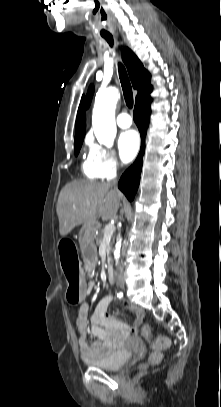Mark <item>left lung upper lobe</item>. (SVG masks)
Listing matches in <instances>:
<instances>
[{
    "label": "left lung upper lobe",
    "mask_w": 221,
    "mask_h": 407,
    "mask_svg": "<svg viewBox=\"0 0 221 407\" xmlns=\"http://www.w3.org/2000/svg\"><path fill=\"white\" fill-rule=\"evenodd\" d=\"M93 92H94V87H93V85H91L89 87L88 95H87V107L90 105V102H91V99H92V96H93Z\"/></svg>",
    "instance_id": "5c2ea615"
}]
</instances>
